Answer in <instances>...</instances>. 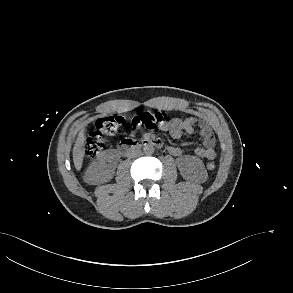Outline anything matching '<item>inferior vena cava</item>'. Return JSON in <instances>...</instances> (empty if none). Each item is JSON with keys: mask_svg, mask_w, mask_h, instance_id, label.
I'll return each instance as SVG.
<instances>
[{"mask_svg": "<svg viewBox=\"0 0 293 293\" xmlns=\"http://www.w3.org/2000/svg\"><path fill=\"white\" fill-rule=\"evenodd\" d=\"M140 155H141V150L138 147H134L128 152V157L130 158H136Z\"/></svg>", "mask_w": 293, "mask_h": 293, "instance_id": "602c4592", "label": "inferior vena cava"}]
</instances>
